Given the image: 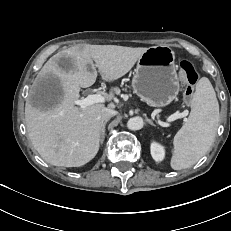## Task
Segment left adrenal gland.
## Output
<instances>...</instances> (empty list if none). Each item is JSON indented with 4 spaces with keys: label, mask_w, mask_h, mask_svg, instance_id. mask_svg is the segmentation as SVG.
<instances>
[{
    "label": "left adrenal gland",
    "mask_w": 231,
    "mask_h": 231,
    "mask_svg": "<svg viewBox=\"0 0 231 231\" xmlns=\"http://www.w3.org/2000/svg\"><path fill=\"white\" fill-rule=\"evenodd\" d=\"M146 121H147L150 125L156 126L150 119L147 118Z\"/></svg>",
    "instance_id": "1"
}]
</instances>
